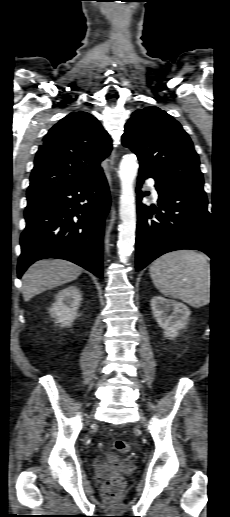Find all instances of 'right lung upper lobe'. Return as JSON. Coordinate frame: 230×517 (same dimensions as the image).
I'll use <instances>...</instances> for the list:
<instances>
[{
    "instance_id": "obj_1",
    "label": "right lung upper lobe",
    "mask_w": 230,
    "mask_h": 517,
    "mask_svg": "<svg viewBox=\"0 0 230 517\" xmlns=\"http://www.w3.org/2000/svg\"><path fill=\"white\" fill-rule=\"evenodd\" d=\"M111 139L87 112H72L55 124L37 151L27 196L69 187L102 172Z\"/></svg>"
}]
</instances>
